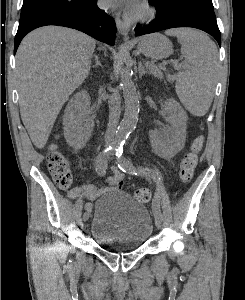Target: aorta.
Wrapping results in <instances>:
<instances>
[{
	"label": "aorta",
	"mask_w": 245,
	"mask_h": 300,
	"mask_svg": "<svg viewBox=\"0 0 245 300\" xmlns=\"http://www.w3.org/2000/svg\"><path fill=\"white\" fill-rule=\"evenodd\" d=\"M120 76V87L123 91L125 112L113 141V145L116 148L121 147L129 134L135 129L139 114V98L130 70L127 68H121Z\"/></svg>",
	"instance_id": "aorta-1"
}]
</instances>
